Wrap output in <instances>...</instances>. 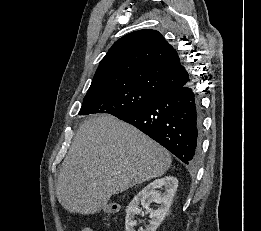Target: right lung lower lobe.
Returning <instances> with one entry per match:
<instances>
[{"mask_svg":"<svg viewBox=\"0 0 261 231\" xmlns=\"http://www.w3.org/2000/svg\"><path fill=\"white\" fill-rule=\"evenodd\" d=\"M118 118L137 127L185 164L197 162L202 118L200 99L191 84L171 90Z\"/></svg>","mask_w":261,"mask_h":231,"instance_id":"obj_1","label":"right lung lower lobe"}]
</instances>
